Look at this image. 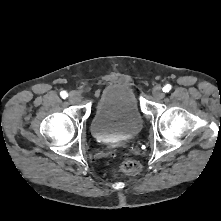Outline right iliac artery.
Returning a JSON list of instances; mask_svg holds the SVG:
<instances>
[{
  "instance_id": "right-iliac-artery-1",
  "label": "right iliac artery",
  "mask_w": 221,
  "mask_h": 221,
  "mask_svg": "<svg viewBox=\"0 0 221 221\" xmlns=\"http://www.w3.org/2000/svg\"><path fill=\"white\" fill-rule=\"evenodd\" d=\"M60 96L62 97V98H67L68 97V94H67V92L66 91H61L60 92Z\"/></svg>"
}]
</instances>
